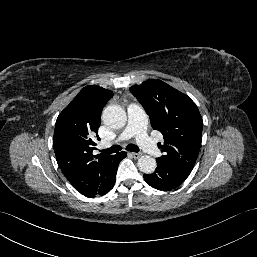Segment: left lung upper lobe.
<instances>
[{
    "mask_svg": "<svg viewBox=\"0 0 257 257\" xmlns=\"http://www.w3.org/2000/svg\"><path fill=\"white\" fill-rule=\"evenodd\" d=\"M142 104L154 130L163 134L157 160L190 174L199 154L203 121L193 100L161 80L130 87Z\"/></svg>",
    "mask_w": 257,
    "mask_h": 257,
    "instance_id": "1",
    "label": "left lung upper lobe"
}]
</instances>
